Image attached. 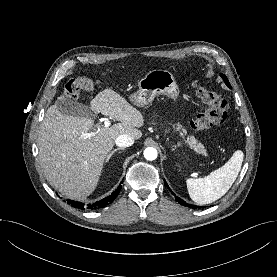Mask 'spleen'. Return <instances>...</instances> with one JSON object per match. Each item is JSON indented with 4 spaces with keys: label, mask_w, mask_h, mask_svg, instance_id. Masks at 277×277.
<instances>
[{
    "label": "spleen",
    "mask_w": 277,
    "mask_h": 277,
    "mask_svg": "<svg viewBox=\"0 0 277 277\" xmlns=\"http://www.w3.org/2000/svg\"><path fill=\"white\" fill-rule=\"evenodd\" d=\"M243 152L237 150L222 167L204 178L186 180L190 198L200 204L212 203L227 193L236 180L243 162Z\"/></svg>",
    "instance_id": "obj_1"
}]
</instances>
